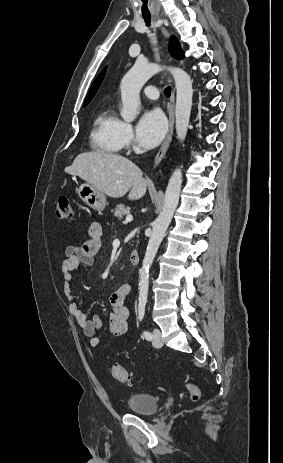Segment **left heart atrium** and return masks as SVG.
<instances>
[{
    "label": "left heart atrium",
    "mask_w": 283,
    "mask_h": 463,
    "mask_svg": "<svg viewBox=\"0 0 283 463\" xmlns=\"http://www.w3.org/2000/svg\"><path fill=\"white\" fill-rule=\"evenodd\" d=\"M167 130V121L158 109H151L143 113L137 127L138 142L145 148L157 146L164 138Z\"/></svg>",
    "instance_id": "left-heart-atrium-1"
}]
</instances>
